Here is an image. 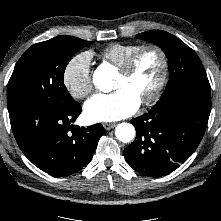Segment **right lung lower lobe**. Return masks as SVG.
Returning <instances> with one entry per match:
<instances>
[{"label":"right lung lower lobe","instance_id":"right-lung-lower-lobe-1","mask_svg":"<svg viewBox=\"0 0 221 221\" xmlns=\"http://www.w3.org/2000/svg\"><path fill=\"white\" fill-rule=\"evenodd\" d=\"M11 128L25 156L39 169L54 176H67L86 166L104 127L70 125L81 113L75 102L48 107L29 102L8 109Z\"/></svg>","mask_w":221,"mask_h":221}]
</instances>
